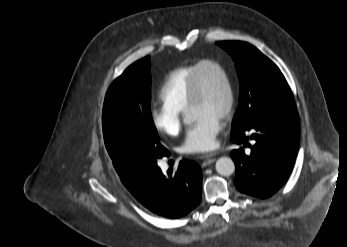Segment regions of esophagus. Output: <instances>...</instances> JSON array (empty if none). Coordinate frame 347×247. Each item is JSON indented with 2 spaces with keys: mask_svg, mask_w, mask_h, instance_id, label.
Masks as SVG:
<instances>
[{
  "mask_svg": "<svg viewBox=\"0 0 347 247\" xmlns=\"http://www.w3.org/2000/svg\"><path fill=\"white\" fill-rule=\"evenodd\" d=\"M216 155L215 152H212V153H208V154H205V155H202L200 158L203 159V166H208L210 165L211 163L215 162V158L214 156Z\"/></svg>",
  "mask_w": 347,
  "mask_h": 247,
  "instance_id": "1",
  "label": "esophagus"
}]
</instances>
